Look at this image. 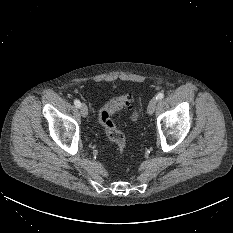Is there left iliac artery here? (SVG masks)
I'll return each instance as SVG.
<instances>
[{
	"label": "left iliac artery",
	"mask_w": 233,
	"mask_h": 233,
	"mask_svg": "<svg viewBox=\"0 0 233 233\" xmlns=\"http://www.w3.org/2000/svg\"><path fill=\"white\" fill-rule=\"evenodd\" d=\"M164 98V93L160 92L156 95L157 100H162Z\"/></svg>",
	"instance_id": "44dca946"
}]
</instances>
